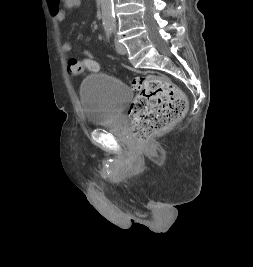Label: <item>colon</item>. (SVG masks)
<instances>
[{"label": "colon", "instance_id": "colon-1", "mask_svg": "<svg viewBox=\"0 0 253 267\" xmlns=\"http://www.w3.org/2000/svg\"><path fill=\"white\" fill-rule=\"evenodd\" d=\"M84 59L70 58L67 69L70 75H79L84 69L97 72L100 65L92 58L91 51H83ZM133 90L138 91L128 111L133 135L147 143L159 135L186 112L187 99L172 82L158 75H138L131 81Z\"/></svg>", "mask_w": 253, "mask_h": 267}]
</instances>
